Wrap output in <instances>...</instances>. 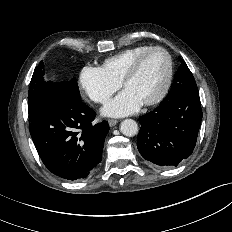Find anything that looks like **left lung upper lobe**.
<instances>
[{
    "label": "left lung upper lobe",
    "mask_w": 232,
    "mask_h": 232,
    "mask_svg": "<svg viewBox=\"0 0 232 232\" xmlns=\"http://www.w3.org/2000/svg\"><path fill=\"white\" fill-rule=\"evenodd\" d=\"M181 66L177 71L171 90L180 93L199 94L194 77L186 65L185 61L179 58Z\"/></svg>",
    "instance_id": "obj_1"
}]
</instances>
